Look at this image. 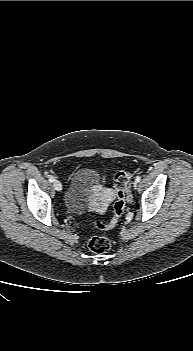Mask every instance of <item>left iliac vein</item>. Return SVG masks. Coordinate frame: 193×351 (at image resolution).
<instances>
[{
  "label": "left iliac vein",
  "mask_w": 193,
  "mask_h": 351,
  "mask_svg": "<svg viewBox=\"0 0 193 351\" xmlns=\"http://www.w3.org/2000/svg\"><path fill=\"white\" fill-rule=\"evenodd\" d=\"M133 187H134V188L137 187V182H136V181L133 182Z\"/></svg>",
  "instance_id": "obj_1"
}]
</instances>
